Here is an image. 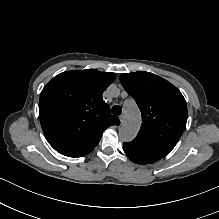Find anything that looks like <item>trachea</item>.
Returning a JSON list of instances; mask_svg holds the SVG:
<instances>
[{
	"label": "trachea",
	"mask_w": 219,
	"mask_h": 219,
	"mask_svg": "<svg viewBox=\"0 0 219 219\" xmlns=\"http://www.w3.org/2000/svg\"><path fill=\"white\" fill-rule=\"evenodd\" d=\"M111 111H112L113 115L119 116L122 113V107L119 105H115L112 107Z\"/></svg>",
	"instance_id": "1"
}]
</instances>
